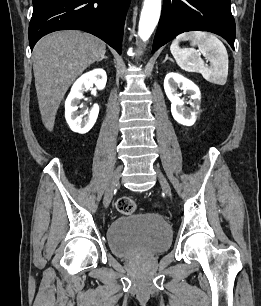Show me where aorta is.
I'll list each match as a JSON object with an SVG mask.
<instances>
[{
	"mask_svg": "<svg viewBox=\"0 0 261 306\" xmlns=\"http://www.w3.org/2000/svg\"><path fill=\"white\" fill-rule=\"evenodd\" d=\"M161 12V0H144L138 27V35L142 41H147L152 35Z\"/></svg>",
	"mask_w": 261,
	"mask_h": 306,
	"instance_id": "1",
	"label": "aorta"
}]
</instances>
